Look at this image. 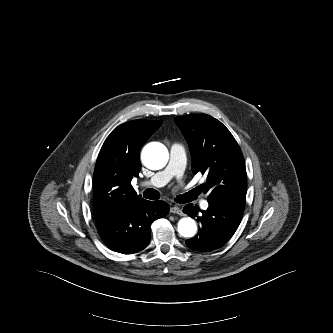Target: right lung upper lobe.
I'll list each match as a JSON object with an SVG mask.
<instances>
[{"label": "right lung upper lobe", "mask_w": 333, "mask_h": 333, "mask_svg": "<svg viewBox=\"0 0 333 333\" xmlns=\"http://www.w3.org/2000/svg\"><path fill=\"white\" fill-rule=\"evenodd\" d=\"M161 125V120H133L118 126L107 137L94 170V203L128 205L142 198L137 196L131 180L141 169V147Z\"/></svg>", "instance_id": "right-lung-upper-lobe-1"}]
</instances>
